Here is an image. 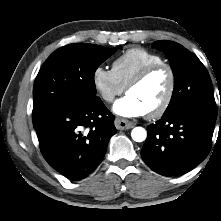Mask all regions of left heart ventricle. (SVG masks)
I'll return each instance as SVG.
<instances>
[{"label":"left heart ventricle","mask_w":221,"mask_h":221,"mask_svg":"<svg viewBox=\"0 0 221 221\" xmlns=\"http://www.w3.org/2000/svg\"><path fill=\"white\" fill-rule=\"evenodd\" d=\"M169 86V74L166 69H160L151 74L141 84L131 88L127 93L136 97L147 112L160 105Z\"/></svg>","instance_id":"left-heart-ventricle-1"}]
</instances>
